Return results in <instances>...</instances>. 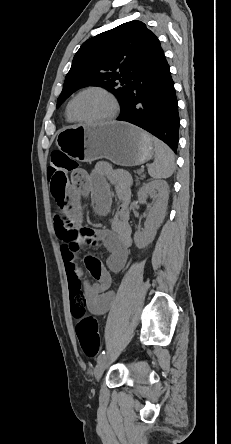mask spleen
Wrapping results in <instances>:
<instances>
[{
    "label": "spleen",
    "mask_w": 231,
    "mask_h": 444,
    "mask_svg": "<svg viewBox=\"0 0 231 444\" xmlns=\"http://www.w3.org/2000/svg\"><path fill=\"white\" fill-rule=\"evenodd\" d=\"M155 158L149 165L148 173L154 179L169 178L175 168V157L173 151L161 140L153 138Z\"/></svg>",
    "instance_id": "3e777b00"
}]
</instances>
